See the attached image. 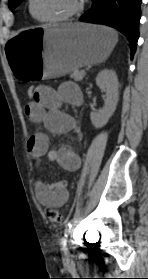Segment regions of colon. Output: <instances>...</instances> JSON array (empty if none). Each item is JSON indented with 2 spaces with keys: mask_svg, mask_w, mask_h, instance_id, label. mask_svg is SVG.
<instances>
[{
  "mask_svg": "<svg viewBox=\"0 0 148 279\" xmlns=\"http://www.w3.org/2000/svg\"><path fill=\"white\" fill-rule=\"evenodd\" d=\"M26 94L28 98L33 100L38 95L37 87L36 86L28 87ZM46 215L53 222H61L63 220L61 213L56 208L53 207L47 208Z\"/></svg>",
  "mask_w": 148,
  "mask_h": 279,
  "instance_id": "colon-1",
  "label": "colon"
}]
</instances>
